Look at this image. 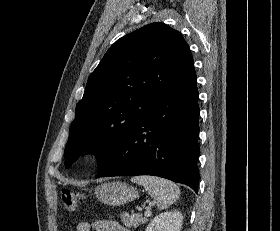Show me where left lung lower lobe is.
<instances>
[{
    "label": "left lung lower lobe",
    "mask_w": 280,
    "mask_h": 231,
    "mask_svg": "<svg viewBox=\"0 0 280 231\" xmlns=\"http://www.w3.org/2000/svg\"><path fill=\"white\" fill-rule=\"evenodd\" d=\"M199 106L196 73L164 93L118 141L96 178L153 175L198 193Z\"/></svg>",
    "instance_id": "1"
}]
</instances>
